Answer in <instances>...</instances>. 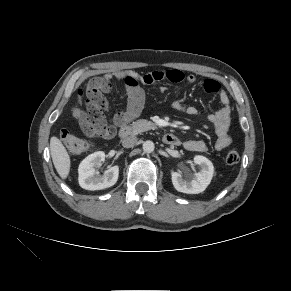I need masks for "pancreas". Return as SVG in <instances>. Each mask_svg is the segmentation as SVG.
Segmentation results:
<instances>
[{
	"mask_svg": "<svg viewBox=\"0 0 291 291\" xmlns=\"http://www.w3.org/2000/svg\"><path fill=\"white\" fill-rule=\"evenodd\" d=\"M156 125L150 121H147L145 119H140L132 123L130 129L132 134H139L144 131L155 129Z\"/></svg>",
	"mask_w": 291,
	"mask_h": 291,
	"instance_id": "1",
	"label": "pancreas"
}]
</instances>
